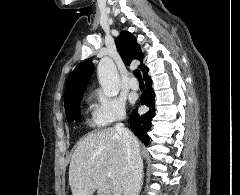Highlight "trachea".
<instances>
[{
    "label": "trachea",
    "mask_w": 240,
    "mask_h": 195,
    "mask_svg": "<svg viewBox=\"0 0 240 195\" xmlns=\"http://www.w3.org/2000/svg\"><path fill=\"white\" fill-rule=\"evenodd\" d=\"M133 74L138 79L139 84H144L140 70H138V69L134 70Z\"/></svg>",
    "instance_id": "obj_1"
}]
</instances>
